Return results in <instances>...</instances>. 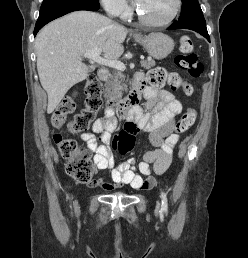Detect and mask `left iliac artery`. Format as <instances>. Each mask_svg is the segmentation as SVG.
Listing matches in <instances>:
<instances>
[{"label": "left iliac artery", "instance_id": "left-iliac-artery-1", "mask_svg": "<svg viewBox=\"0 0 248 258\" xmlns=\"http://www.w3.org/2000/svg\"><path fill=\"white\" fill-rule=\"evenodd\" d=\"M161 199H162L161 209H162L164 212H167L168 202H167L166 194H165L164 192H161Z\"/></svg>", "mask_w": 248, "mask_h": 258}]
</instances>
